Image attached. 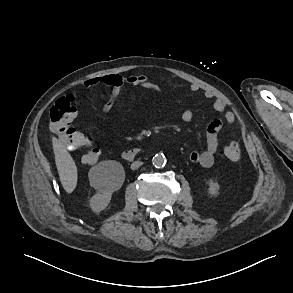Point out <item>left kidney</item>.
<instances>
[{
  "label": "left kidney",
  "instance_id": "left-kidney-1",
  "mask_svg": "<svg viewBox=\"0 0 293 293\" xmlns=\"http://www.w3.org/2000/svg\"><path fill=\"white\" fill-rule=\"evenodd\" d=\"M219 184L213 180L208 181V193L211 195H217L219 191Z\"/></svg>",
  "mask_w": 293,
  "mask_h": 293
}]
</instances>
